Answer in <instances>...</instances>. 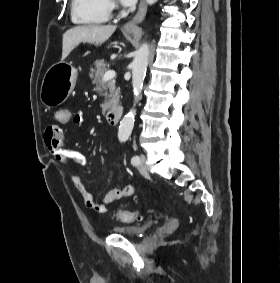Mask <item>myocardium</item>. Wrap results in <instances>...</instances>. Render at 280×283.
<instances>
[{"label": "myocardium", "mask_w": 280, "mask_h": 283, "mask_svg": "<svg viewBox=\"0 0 280 283\" xmlns=\"http://www.w3.org/2000/svg\"><path fill=\"white\" fill-rule=\"evenodd\" d=\"M107 2H108L109 6H115L116 5L115 0H107Z\"/></svg>", "instance_id": "myocardium-1"}]
</instances>
